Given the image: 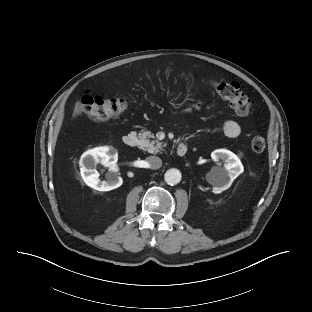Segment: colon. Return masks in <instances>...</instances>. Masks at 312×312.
Masks as SVG:
<instances>
[{
	"label": "colon",
	"mask_w": 312,
	"mask_h": 312,
	"mask_svg": "<svg viewBox=\"0 0 312 312\" xmlns=\"http://www.w3.org/2000/svg\"><path fill=\"white\" fill-rule=\"evenodd\" d=\"M218 94L229 102L234 113L238 117H246L250 113L251 101L243 94L236 82L218 81L214 83ZM126 101L122 98L87 94L82 98L81 110L87 116L96 121L108 120L124 113ZM266 147V140L262 136H255L251 140V148L254 152H262Z\"/></svg>",
	"instance_id": "obj_1"
}]
</instances>
